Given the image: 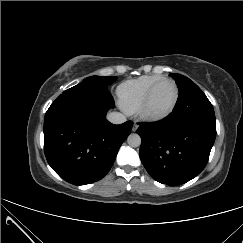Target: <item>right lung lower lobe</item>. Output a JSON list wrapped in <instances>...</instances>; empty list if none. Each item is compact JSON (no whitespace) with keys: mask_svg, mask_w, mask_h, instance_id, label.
Returning a JSON list of instances; mask_svg holds the SVG:
<instances>
[{"mask_svg":"<svg viewBox=\"0 0 243 243\" xmlns=\"http://www.w3.org/2000/svg\"><path fill=\"white\" fill-rule=\"evenodd\" d=\"M114 101L107 89L80 83L64 91L44 119V151L52 169L65 181L85 185L102 179L131 132L105 117Z\"/></svg>","mask_w":243,"mask_h":243,"instance_id":"obj_1","label":"right lung lower lobe"}]
</instances>
